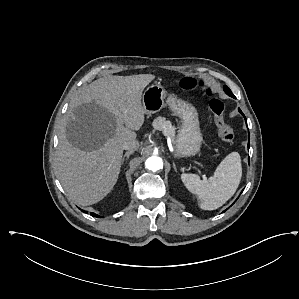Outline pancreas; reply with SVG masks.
<instances>
[{"label":"pancreas","instance_id":"pancreas-1","mask_svg":"<svg viewBox=\"0 0 299 299\" xmlns=\"http://www.w3.org/2000/svg\"><path fill=\"white\" fill-rule=\"evenodd\" d=\"M152 125L154 129L161 130L165 136L170 137L174 141L176 128L170 121H167L164 117H158L153 121Z\"/></svg>","mask_w":299,"mask_h":299}]
</instances>
